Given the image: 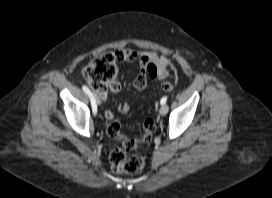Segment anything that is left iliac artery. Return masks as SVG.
<instances>
[{
  "mask_svg": "<svg viewBox=\"0 0 272 198\" xmlns=\"http://www.w3.org/2000/svg\"><path fill=\"white\" fill-rule=\"evenodd\" d=\"M167 99H168V97H167V96H164V97L160 100L161 105L166 104Z\"/></svg>",
  "mask_w": 272,
  "mask_h": 198,
  "instance_id": "left-iliac-artery-1",
  "label": "left iliac artery"
}]
</instances>
